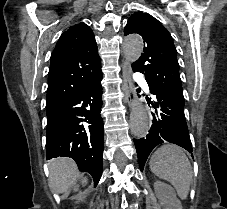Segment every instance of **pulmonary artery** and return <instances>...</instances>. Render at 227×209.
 <instances>
[{
    "mask_svg": "<svg viewBox=\"0 0 227 209\" xmlns=\"http://www.w3.org/2000/svg\"><path fill=\"white\" fill-rule=\"evenodd\" d=\"M132 78H142V73H132Z\"/></svg>",
    "mask_w": 227,
    "mask_h": 209,
    "instance_id": "1",
    "label": "pulmonary artery"
}]
</instances>
